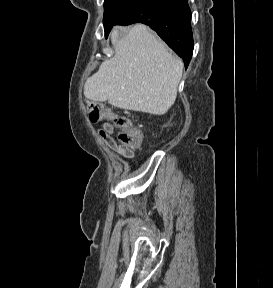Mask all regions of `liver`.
Segmentation results:
<instances>
[{
  "label": "liver",
  "instance_id": "liver-1",
  "mask_svg": "<svg viewBox=\"0 0 273 288\" xmlns=\"http://www.w3.org/2000/svg\"><path fill=\"white\" fill-rule=\"evenodd\" d=\"M114 56L87 79L84 95L114 107L163 115L174 104L183 63L146 25L111 32Z\"/></svg>",
  "mask_w": 273,
  "mask_h": 288
}]
</instances>
